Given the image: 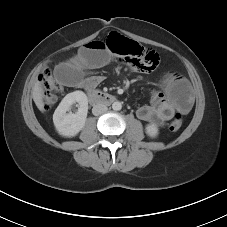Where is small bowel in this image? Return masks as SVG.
I'll list each match as a JSON object with an SVG mask.
<instances>
[{"instance_id":"small-bowel-1","label":"small bowel","mask_w":227,"mask_h":227,"mask_svg":"<svg viewBox=\"0 0 227 227\" xmlns=\"http://www.w3.org/2000/svg\"><path fill=\"white\" fill-rule=\"evenodd\" d=\"M111 60L106 43L94 39L82 46L77 54L65 63L58 64L54 69L56 80L64 87L94 89L103 81L102 76H84L86 69L101 68ZM131 69L139 71L132 64L126 63ZM162 91H153L150 102L137 109V117L142 121L163 126L176 111L187 113L193 106V96L186 79L174 73H167L161 80Z\"/></svg>"}]
</instances>
